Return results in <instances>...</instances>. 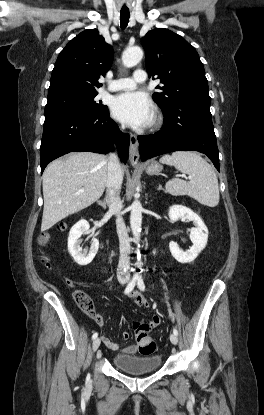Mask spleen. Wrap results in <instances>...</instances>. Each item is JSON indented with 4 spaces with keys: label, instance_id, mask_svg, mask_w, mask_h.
Segmentation results:
<instances>
[{
    "label": "spleen",
    "instance_id": "3e777b00",
    "mask_svg": "<svg viewBox=\"0 0 264 415\" xmlns=\"http://www.w3.org/2000/svg\"><path fill=\"white\" fill-rule=\"evenodd\" d=\"M160 162L174 166L190 177L189 182L179 178L169 180L165 185L166 192L174 196L188 195L209 207L218 205L220 196L217 176L211 165L200 155L192 151H176L162 156Z\"/></svg>",
    "mask_w": 264,
    "mask_h": 415
}]
</instances>
